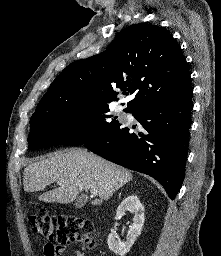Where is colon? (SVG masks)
<instances>
[{
    "mask_svg": "<svg viewBox=\"0 0 221 256\" xmlns=\"http://www.w3.org/2000/svg\"><path fill=\"white\" fill-rule=\"evenodd\" d=\"M32 231L46 237L49 243L45 251L58 256L62 248L79 242L86 248L94 246L93 224L90 220L76 217H54L46 210H39L27 219Z\"/></svg>",
    "mask_w": 221,
    "mask_h": 256,
    "instance_id": "colon-1",
    "label": "colon"
}]
</instances>
